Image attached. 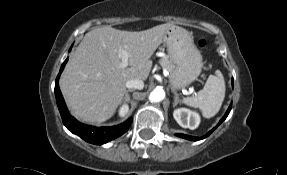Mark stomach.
<instances>
[{
  "mask_svg": "<svg viewBox=\"0 0 287 175\" xmlns=\"http://www.w3.org/2000/svg\"><path fill=\"white\" fill-rule=\"evenodd\" d=\"M163 41L174 65L170 84L173 89L185 88L200 75L202 55L194 44L192 34L183 28H170Z\"/></svg>",
  "mask_w": 287,
  "mask_h": 175,
  "instance_id": "1",
  "label": "stomach"
}]
</instances>
